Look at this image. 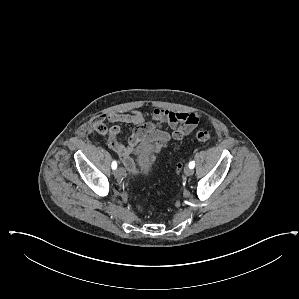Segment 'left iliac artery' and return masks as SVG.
Wrapping results in <instances>:
<instances>
[{
  "label": "left iliac artery",
  "mask_w": 299,
  "mask_h": 299,
  "mask_svg": "<svg viewBox=\"0 0 299 299\" xmlns=\"http://www.w3.org/2000/svg\"><path fill=\"white\" fill-rule=\"evenodd\" d=\"M195 167V162L194 161H191L189 163V168L193 169Z\"/></svg>",
  "instance_id": "1"
}]
</instances>
